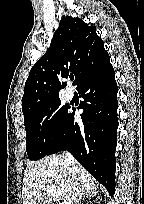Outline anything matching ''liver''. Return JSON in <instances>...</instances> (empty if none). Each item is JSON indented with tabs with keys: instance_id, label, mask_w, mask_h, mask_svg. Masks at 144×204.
Here are the masks:
<instances>
[{
	"instance_id": "obj_1",
	"label": "liver",
	"mask_w": 144,
	"mask_h": 204,
	"mask_svg": "<svg viewBox=\"0 0 144 204\" xmlns=\"http://www.w3.org/2000/svg\"><path fill=\"white\" fill-rule=\"evenodd\" d=\"M71 166L65 155H52L30 163L24 172L22 198L23 204H39L47 194V188L54 186L61 191L65 200L78 189L79 197L85 193L95 194L97 189L94 178L78 163L75 164L73 175Z\"/></svg>"
}]
</instances>
